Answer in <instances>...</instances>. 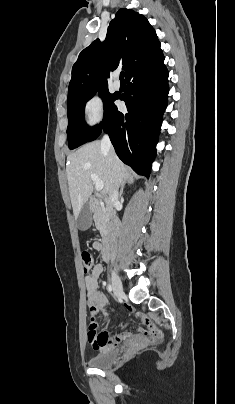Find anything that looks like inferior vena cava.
Returning <instances> with one entry per match:
<instances>
[{"mask_svg": "<svg viewBox=\"0 0 235 404\" xmlns=\"http://www.w3.org/2000/svg\"><path fill=\"white\" fill-rule=\"evenodd\" d=\"M101 147H102V149L104 150V151H107V152H109L110 154H112V155H115V152H114V150H113V147H112V144H111V141H110V138H109V136L108 135H104L103 136V138H102V140H101ZM118 196H119V194H118V188L117 187H115L113 190H112V192L110 193V195H109V199H110V201H111V203L113 204V205H117L118 204Z\"/></svg>", "mask_w": 235, "mask_h": 404, "instance_id": "1", "label": "inferior vena cava"}]
</instances>
